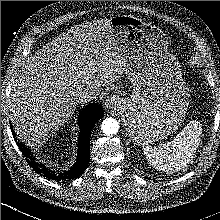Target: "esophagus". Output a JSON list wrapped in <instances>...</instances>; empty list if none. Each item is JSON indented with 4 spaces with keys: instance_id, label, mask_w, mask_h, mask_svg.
Returning <instances> with one entry per match:
<instances>
[{
    "instance_id": "esophagus-1",
    "label": "esophagus",
    "mask_w": 220,
    "mask_h": 220,
    "mask_svg": "<svg viewBox=\"0 0 220 220\" xmlns=\"http://www.w3.org/2000/svg\"><path fill=\"white\" fill-rule=\"evenodd\" d=\"M120 98L117 95H110L104 102V107L108 110H115L120 104Z\"/></svg>"
}]
</instances>
